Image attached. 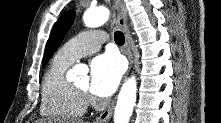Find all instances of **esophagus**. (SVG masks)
<instances>
[{
    "label": "esophagus",
    "mask_w": 221,
    "mask_h": 123,
    "mask_svg": "<svg viewBox=\"0 0 221 123\" xmlns=\"http://www.w3.org/2000/svg\"><path fill=\"white\" fill-rule=\"evenodd\" d=\"M114 7L117 11V25L124 31L125 33V45H124V52L128 59L129 68L127 71V74L129 73V70L133 64V55L130 49V33L129 28L127 25V11L126 6L123 2V0H115L114 1ZM115 105V100L111 102V104L103 111L101 114L93 121V123H106L111 118L113 109Z\"/></svg>",
    "instance_id": "1"
}]
</instances>
